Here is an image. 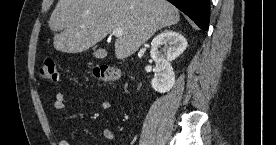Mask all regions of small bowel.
Segmentation results:
<instances>
[{
  "mask_svg": "<svg viewBox=\"0 0 276 145\" xmlns=\"http://www.w3.org/2000/svg\"><path fill=\"white\" fill-rule=\"evenodd\" d=\"M66 107V98L64 94L62 93H57L54 98V109L56 111H62ZM101 107L103 109H109L110 108V102L107 100H103L101 102ZM101 135L104 139L117 142L118 138L117 135L112 131L111 129L105 128L101 131ZM59 145H70L69 141L66 139H62L59 141Z\"/></svg>",
  "mask_w": 276,
  "mask_h": 145,
  "instance_id": "small-bowel-1",
  "label": "small bowel"
}]
</instances>
